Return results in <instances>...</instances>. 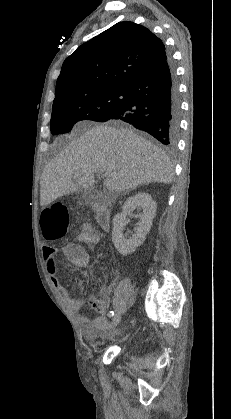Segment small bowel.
I'll use <instances>...</instances> for the list:
<instances>
[{
  "label": "small bowel",
  "mask_w": 231,
  "mask_h": 419,
  "mask_svg": "<svg viewBox=\"0 0 231 419\" xmlns=\"http://www.w3.org/2000/svg\"><path fill=\"white\" fill-rule=\"evenodd\" d=\"M79 241L88 245H95L98 242V235L91 225L84 224V230L79 236ZM57 252L58 250L53 247H44L43 255L47 272L68 308L73 312H80L84 306V299L81 296L70 295L66 286L60 282L56 266ZM60 252L63 260L76 268H85L88 265L89 255L81 245L70 243L63 246ZM78 285L80 289L83 288L82 282ZM90 305L100 315L94 319H88L83 315H79V321L82 324L83 336L87 340H95L102 336L109 327V323L105 317L107 304L105 301L91 297Z\"/></svg>",
  "instance_id": "c3829d8e"
}]
</instances>
